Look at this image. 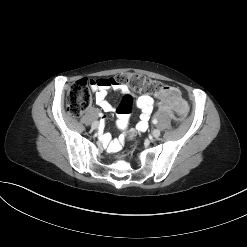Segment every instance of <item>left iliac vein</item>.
<instances>
[{
    "instance_id": "obj_1",
    "label": "left iliac vein",
    "mask_w": 247,
    "mask_h": 247,
    "mask_svg": "<svg viewBox=\"0 0 247 247\" xmlns=\"http://www.w3.org/2000/svg\"><path fill=\"white\" fill-rule=\"evenodd\" d=\"M160 134H161V132H160L159 129H154V130L152 131V136H153L154 138H158V137L160 136Z\"/></svg>"
}]
</instances>
